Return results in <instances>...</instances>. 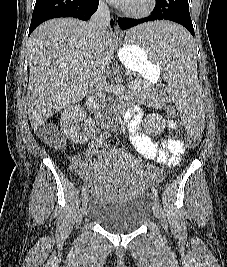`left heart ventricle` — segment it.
<instances>
[{
    "label": "left heart ventricle",
    "instance_id": "b2bd125f",
    "mask_svg": "<svg viewBox=\"0 0 227 267\" xmlns=\"http://www.w3.org/2000/svg\"><path fill=\"white\" fill-rule=\"evenodd\" d=\"M145 0H132L128 6H135V7H139L144 3Z\"/></svg>",
    "mask_w": 227,
    "mask_h": 267
}]
</instances>
